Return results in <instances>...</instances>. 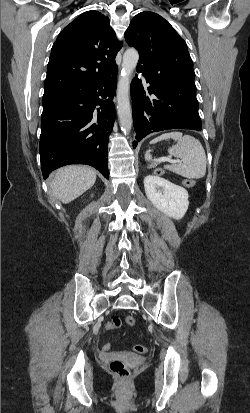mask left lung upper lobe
Instances as JSON below:
<instances>
[{"mask_svg": "<svg viewBox=\"0 0 250 413\" xmlns=\"http://www.w3.org/2000/svg\"><path fill=\"white\" fill-rule=\"evenodd\" d=\"M129 46L138 50L136 69L145 71L156 81L172 78L194 82L193 62L186 42L160 15L145 11L137 14L125 32Z\"/></svg>", "mask_w": 250, "mask_h": 413, "instance_id": "1", "label": "left lung upper lobe"}]
</instances>
